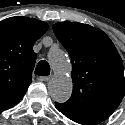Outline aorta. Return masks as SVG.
<instances>
[{
    "instance_id": "aorta-1",
    "label": "aorta",
    "mask_w": 125,
    "mask_h": 125,
    "mask_svg": "<svg viewBox=\"0 0 125 125\" xmlns=\"http://www.w3.org/2000/svg\"><path fill=\"white\" fill-rule=\"evenodd\" d=\"M48 60L54 70V76L48 83L49 94L54 101L63 103L72 93V79L69 76L70 61L65 52L60 49L51 50Z\"/></svg>"
}]
</instances>
